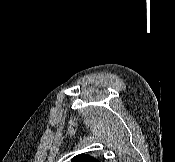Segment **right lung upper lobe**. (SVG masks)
I'll return each mask as SVG.
<instances>
[{
	"label": "right lung upper lobe",
	"instance_id": "obj_1",
	"mask_svg": "<svg viewBox=\"0 0 175 162\" xmlns=\"http://www.w3.org/2000/svg\"><path fill=\"white\" fill-rule=\"evenodd\" d=\"M71 162H100V161L89 155L80 154L72 158Z\"/></svg>",
	"mask_w": 175,
	"mask_h": 162
}]
</instances>
